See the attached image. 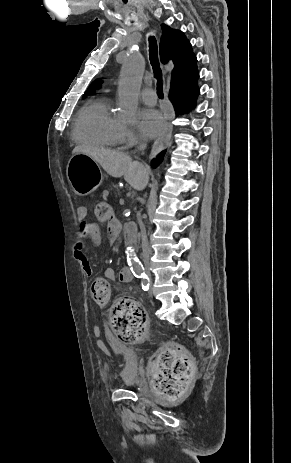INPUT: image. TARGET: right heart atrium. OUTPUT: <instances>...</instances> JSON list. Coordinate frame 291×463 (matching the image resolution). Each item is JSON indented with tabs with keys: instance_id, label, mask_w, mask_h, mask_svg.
Wrapping results in <instances>:
<instances>
[{
	"instance_id": "d8ad5b80",
	"label": "right heart atrium",
	"mask_w": 291,
	"mask_h": 463,
	"mask_svg": "<svg viewBox=\"0 0 291 463\" xmlns=\"http://www.w3.org/2000/svg\"><path fill=\"white\" fill-rule=\"evenodd\" d=\"M121 136L122 141L127 145H133L137 142V136L134 130L128 126H122Z\"/></svg>"
}]
</instances>
